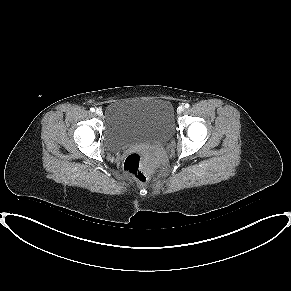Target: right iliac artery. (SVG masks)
I'll return each instance as SVG.
<instances>
[{"mask_svg": "<svg viewBox=\"0 0 291 291\" xmlns=\"http://www.w3.org/2000/svg\"><path fill=\"white\" fill-rule=\"evenodd\" d=\"M90 111H91V112H94V111H95V109L92 107V108H90Z\"/></svg>", "mask_w": 291, "mask_h": 291, "instance_id": "1", "label": "right iliac artery"}]
</instances>
